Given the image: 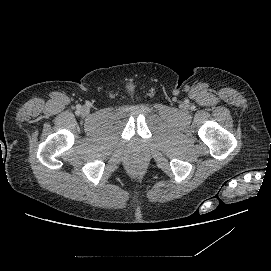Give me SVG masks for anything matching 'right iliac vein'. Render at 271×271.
Segmentation results:
<instances>
[{
  "mask_svg": "<svg viewBox=\"0 0 271 271\" xmlns=\"http://www.w3.org/2000/svg\"><path fill=\"white\" fill-rule=\"evenodd\" d=\"M83 111L86 113V112H88V109H87V108H84Z\"/></svg>",
  "mask_w": 271,
  "mask_h": 271,
  "instance_id": "right-iliac-vein-1",
  "label": "right iliac vein"
}]
</instances>
